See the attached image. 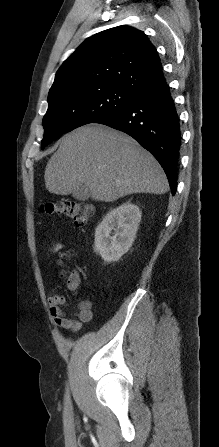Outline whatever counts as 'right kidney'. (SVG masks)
Wrapping results in <instances>:
<instances>
[{"label":"right kidney","instance_id":"right-kidney-1","mask_svg":"<svg viewBox=\"0 0 219 447\" xmlns=\"http://www.w3.org/2000/svg\"><path fill=\"white\" fill-rule=\"evenodd\" d=\"M141 214L139 207L130 202L106 214L95 229L94 242L95 252L99 253L104 261H118L129 250L138 230Z\"/></svg>","mask_w":219,"mask_h":447}]
</instances>
